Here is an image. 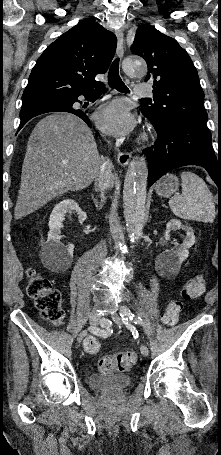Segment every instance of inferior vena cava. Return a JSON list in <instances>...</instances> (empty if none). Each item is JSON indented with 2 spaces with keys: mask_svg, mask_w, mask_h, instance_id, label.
I'll list each match as a JSON object with an SVG mask.
<instances>
[{
  "mask_svg": "<svg viewBox=\"0 0 221 455\" xmlns=\"http://www.w3.org/2000/svg\"><path fill=\"white\" fill-rule=\"evenodd\" d=\"M99 172L95 176V190L104 193L105 190L112 186V167L110 159L103 158Z\"/></svg>",
  "mask_w": 221,
  "mask_h": 455,
  "instance_id": "inferior-vena-cava-1",
  "label": "inferior vena cava"
}]
</instances>
